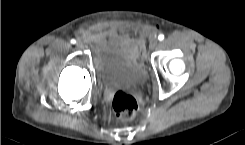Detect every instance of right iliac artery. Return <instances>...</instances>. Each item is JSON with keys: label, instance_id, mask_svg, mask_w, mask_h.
<instances>
[{"label": "right iliac artery", "instance_id": "82829eb1", "mask_svg": "<svg viewBox=\"0 0 245 145\" xmlns=\"http://www.w3.org/2000/svg\"><path fill=\"white\" fill-rule=\"evenodd\" d=\"M71 43L72 44H75L76 43V40L75 39H71Z\"/></svg>", "mask_w": 245, "mask_h": 145}]
</instances>
